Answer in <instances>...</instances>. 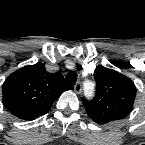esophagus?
<instances>
[{"mask_svg":"<svg viewBox=\"0 0 145 145\" xmlns=\"http://www.w3.org/2000/svg\"><path fill=\"white\" fill-rule=\"evenodd\" d=\"M81 83L80 82H77L74 86V91L77 93V94H80L81 93Z\"/></svg>","mask_w":145,"mask_h":145,"instance_id":"obj_1","label":"esophagus"}]
</instances>
